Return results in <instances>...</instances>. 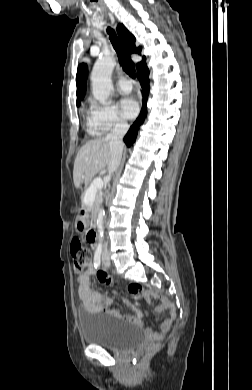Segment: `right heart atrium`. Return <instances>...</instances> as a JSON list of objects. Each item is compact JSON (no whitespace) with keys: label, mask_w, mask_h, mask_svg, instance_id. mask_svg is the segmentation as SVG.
I'll return each mask as SVG.
<instances>
[{"label":"right heart atrium","mask_w":252,"mask_h":390,"mask_svg":"<svg viewBox=\"0 0 252 390\" xmlns=\"http://www.w3.org/2000/svg\"><path fill=\"white\" fill-rule=\"evenodd\" d=\"M90 128L95 134H106L127 128L125 118L114 106L103 105L96 102L91 104L89 116Z\"/></svg>","instance_id":"d8ad5b80"}]
</instances>
